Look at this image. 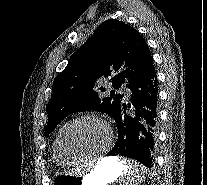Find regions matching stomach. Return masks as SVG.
I'll return each instance as SVG.
<instances>
[{"instance_id":"obj_1","label":"stomach","mask_w":207,"mask_h":185,"mask_svg":"<svg viewBox=\"0 0 207 185\" xmlns=\"http://www.w3.org/2000/svg\"><path fill=\"white\" fill-rule=\"evenodd\" d=\"M125 164L117 157L103 158L95 169L84 176L58 175L52 185H108L121 177Z\"/></svg>"}]
</instances>
